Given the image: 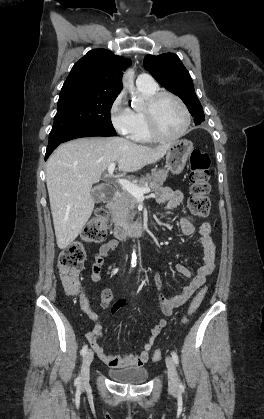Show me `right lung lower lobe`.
I'll return each mask as SVG.
<instances>
[{"instance_id":"1","label":"right lung lower lobe","mask_w":264,"mask_h":419,"mask_svg":"<svg viewBox=\"0 0 264 419\" xmlns=\"http://www.w3.org/2000/svg\"><path fill=\"white\" fill-rule=\"evenodd\" d=\"M116 133L115 132H107V131H103V130H94V129H84V130H78V131H74L71 132L65 136H63L61 139L49 143L48 147H47V151H46V155H45V160H47V158L50 156V154L53 152V150L61 143L75 139V138H80V137H91V136H103V137H108V136H115Z\"/></svg>"}]
</instances>
